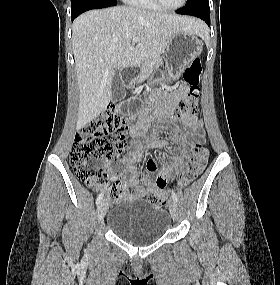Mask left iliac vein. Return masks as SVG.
Returning a JSON list of instances; mask_svg holds the SVG:
<instances>
[{"label": "left iliac vein", "mask_w": 280, "mask_h": 285, "mask_svg": "<svg viewBox=\"0 0 280 285\" xmlns=\"http://www.w3.org/2000/svg\"><path fill=\"white\" fill-rule=\"evenodd\" d=\"M169 211H170V214H171L173 220H176L178 217L179 211H178L177 203L174 200H171L169 202Z\"/></svg>", "instance_id": "obj_1"}]
</instances>
